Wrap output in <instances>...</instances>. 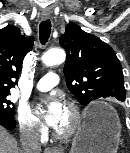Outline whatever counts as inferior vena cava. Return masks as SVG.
Instances as JSON below:
<instances>
[{
    "instance_id": "602c4592",
    "label": "inferior vena cava",
    "mask_w": 130,
    "mask_h": 153,
    "mask_svg": "<svg viewBox=\"0 0 130 153\" xmlns=\"http://www.w3.org/2000/svg\"><path fill=\"white\" fill-rule=\"evenodd\" d=\"M22 153H40V134L34 127L21 128Z\"/></svg>"
}]
</instances>
